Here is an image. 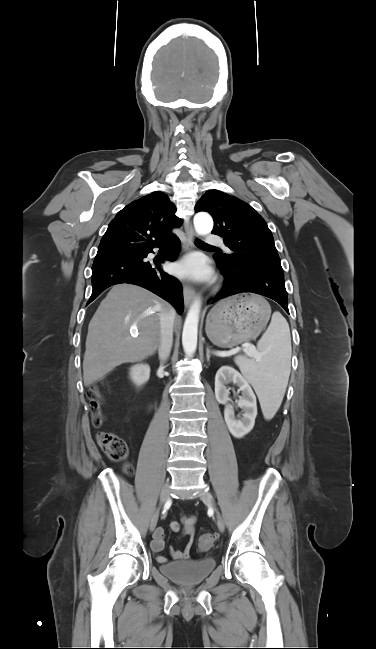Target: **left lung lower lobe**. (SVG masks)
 Returning <instances> with one entry per match:
<instances>
[{
    "instance_id": "left-lung-lower-lobe-1",
    "label": "left lung lower lobe",
    "mask_w": 376,
    "mask_h": 649,
    "mask_svg": "<svg viewBox=\"0 0 376 649\" xmlns=\"http://www.w3.org/2000/svg\"><path fill=\"white\" fill-rule=\"evenodd\" d=\"M216 263L225 280L222 291L212 303L238 293L250 292L275 300L289 314L284 275L253 264L233 268L218 261Z\"/></svg>"
}]
</instances>
